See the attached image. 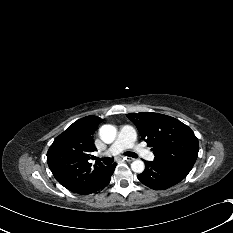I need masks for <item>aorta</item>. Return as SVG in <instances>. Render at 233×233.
<instances>
[{
	"label": "aorta",
	"mask_w": 233,
	"mask_h": 233,
	"mask_svg": "<svg viewBox=\"0 0 233 233\" xmlns=\"http://www.w3.org/2000/svg\"><path fill=\"white\" fill-rule=\"evenodd\" d=\"M99 135L105 143H112L117 135V129L113 125H103L99 129ZM131 169L135 173H142L145 169V164L142 160H135L131 163Z\"/></svg>",
	"instance_id": "obj_1"
}]
</instances>
